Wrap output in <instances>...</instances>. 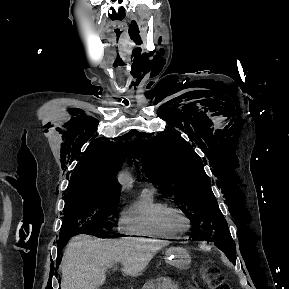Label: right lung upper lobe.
<instances>
[{
    "mask_svg": "<svg viewBox=\"0 0 289 289\" xmlns=\"http://www.w3.org/2000/svg\"><path fill=\"white\" fill-rule=\"evenodd\" d=\"M127 145V142H101L100 139L91 142L71 174L67 198L101 194L120 195L115 177L127 155Z\"/></svg>",
    "mask_w": 289,
    "mask_h": 289,
    "instance_id": "1",
    "label": "right lung upper lobe"
}]
</instances>
